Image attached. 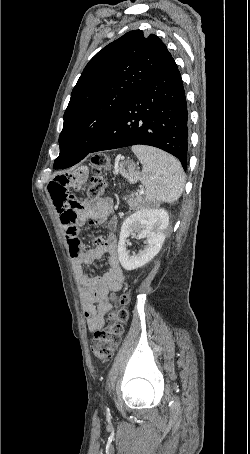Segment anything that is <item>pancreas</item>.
Masks as SVG:
<instances>
[{"instance_id":"pancreas-1","label":"pancreas","mask_w":250,"mask_h":454,"mask_svg":"<svg viewBox=\"0 0 250 454\" xmlns=\"http://www.w3.org/2000/svg\"><path fill=\"white\" fill-rule=\"evenodd\" d=\"M141 201H142V196L138 195L135 200L130 199L128 201V203L130 204V206L134 207V206H137V204L140 203Z\"/></svg>"}]
</instances>
